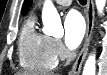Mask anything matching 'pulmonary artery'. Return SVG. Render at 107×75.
Masks as SVG:
<instances>
[{
	"label": "pulmonary artery",
	"instance_id": "1",
	"mask_svg": "<svg viewBox=\"0 0 107 75\" xmlns=\"http://www.w3.org/2000/svg\"><path fill=\"white\" fill-rule=\"evenodd\" d=\"M55 2L62 6H69L72 0H56Z\"/></svg>",
	"mask_w": 107,
	"mask_h": 75
}]
</instances>
